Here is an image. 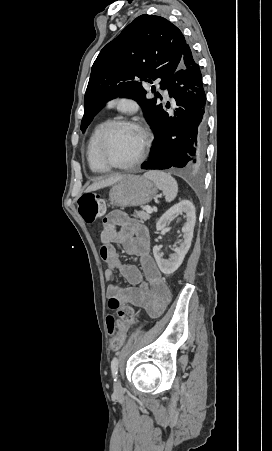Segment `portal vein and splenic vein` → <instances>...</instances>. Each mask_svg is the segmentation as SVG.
I'll return each mask as SVG.
<instances>
[{
  "label": "portal vein and splenic vein",
  "mask_w": 272,
  "mask_h": 451,
  "mask_svg": "<svg viewBox=\"0 0 272 451\" xmlns=\"http://www.w3.org/2000/svg\"><path fill=\"white\" fill-rule=\"evenodd\" d=\"M144 210H146V212H148V214H152V212H153V208H150V206H145Z\"/></svg>",
  "instance_id": "1"
}]
</instances>
